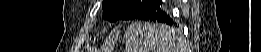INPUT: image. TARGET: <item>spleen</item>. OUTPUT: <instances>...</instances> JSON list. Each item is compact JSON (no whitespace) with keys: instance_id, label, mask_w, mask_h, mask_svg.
Returning <instances> with one entry per match:
<instances>
[{"instance_id":"spleen-1","label":"spleen","mask_w":261,"mask_h":52,"mask_svg":"<svg viewBox=\"0 0 261 52\" xmlns=\"http://www.w3.org/2000/svg\"><path fill=\"white\" fill-rule=\"evenodd\" d=\"M171 30L160 24L132 23L126 30L134 52H173L175 37Z\"/></svg>"}]
</instances>
